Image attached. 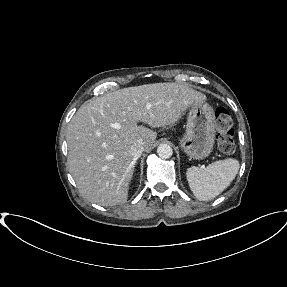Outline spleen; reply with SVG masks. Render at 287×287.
I'll return each instance as SVG.
<instances>
[{
    "label": "spleen",
    "mask_w": 287,
    "mask_h": 287,
    "mask_svg": "<svg viewBox=\"0 0 287 287\" xmlns=\"http://www.w3.org/2000/svg\"><path fill=\"white\" fill-rule=\"evenodd\" d=\"M240 168L239 161L233 158L219 160L205 169L192 166L187 169L189 187L200 201H208L222 193L234 180Z\"/></svg>",
    "instance_id": "3e777b00"
}]
</instances>
